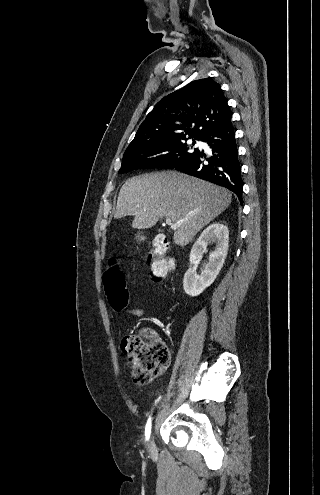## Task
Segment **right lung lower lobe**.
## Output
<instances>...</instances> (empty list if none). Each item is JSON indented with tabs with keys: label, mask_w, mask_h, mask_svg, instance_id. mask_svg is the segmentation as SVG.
<instances>
[{
	"label": "right lung lower lobe",
	"mask_w": 320,
	"mask_h": 495,
	"mask_svg": "<svg viewBox=\"0 0 320 495\" xmlns=\"http://www.w3.org/2000/svg\"><path fill=\"white\" fill-rule=\"evenodd\" d=\"M200 139L209 145L212 155L206 157L204 151L198 149L193 156L174 168L226 187L241 201L243 188L241 165L231 118L208 131Z\"/></svg>",
	"instance_id": "98d812e1"
}]
</instances>
